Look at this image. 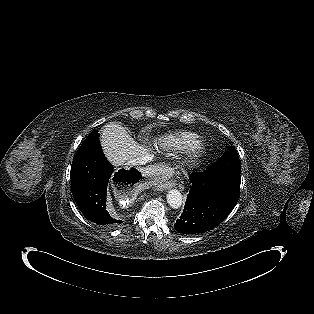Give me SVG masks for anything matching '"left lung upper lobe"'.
Instances as JSON below:
<instances>
[{
    "label": "left lung upper lobe",
    "mask_w": 314,
    "mask_h": 314,
    "mask_svg": "<svg viewBox=\"0 0 314 314\" xmlns=\"http://www.w3.org/2000/svg\"><path fill=\"white\" fill-rule=\"evenodd\" d=\"M208 171L211 172H240V160L236 149L229 146L221 158L212 165Z\"/></svg>",
    "instance_id": "1"
}]
</instances>
